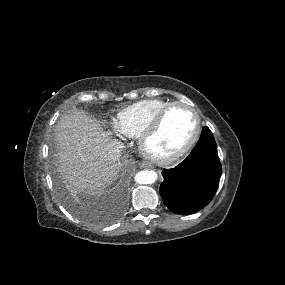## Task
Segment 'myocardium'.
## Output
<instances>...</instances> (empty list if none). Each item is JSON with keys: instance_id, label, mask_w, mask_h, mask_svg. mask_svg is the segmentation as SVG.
<instances>
[{"instance_id": "f54148a6", "label": "myocardium", "mask_w": 285, "mask_h": 285, "mask_svg": "<svg viewBox=\"0 0 285 285\" xmlns=\"http://www.w3.org/2000/svg\"><path fill=\"white\" fill-rule=\"evenodd\" d=\"M175 107H184L193 113L196 119L195 131L192 137L189 139V141L176 152L165 157L155 156L148 151L147 143L149 139L152 138L159 131L164 119L166 118L168 113ZM201 132H202V120L197 109L184 102H172L167 107H165L141 133L139 137V148L141 153L151 162L161 166L170 165L178 161L184 155H186L195 146V144L198 142L200 138Z\"/></svg>"}]
</instances>
